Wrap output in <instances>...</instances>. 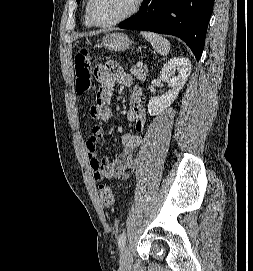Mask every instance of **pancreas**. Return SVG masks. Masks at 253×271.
I'll list each match as a JSON object with an SVG mask.
<instances>
[{
    "label": "pancreas",
    "mask_w": 253,
    "mask_h": 271,
    "mask_svg": "<svg viewBox=\"0 0 253 271\" xmlns=\"http://www.w3.org/2000/svg\"><path fill=\"white\" fill-rule=\"evenodd\" d=\"M130 72L132 75H134L137 79L143 81L146 79L147 76V69L144 67H139L138 65H134L131 69Z\"/></svg>",
    "instance_id": "1"
}]
</instances>
